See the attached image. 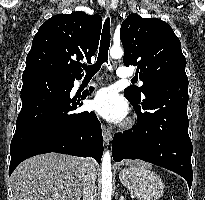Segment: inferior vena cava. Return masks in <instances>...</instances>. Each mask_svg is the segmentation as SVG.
I'll list each match as a JSON object with an SVG mask.
<instances>
[{"label":"inferior vena cava","instance_id":"obj_1","mask_svg":"<svg viewBox=\"0 0 205 200\" xmlns=\"http://www.w3.org/2000/svg\"><path fill=\"white\" fill-rule=\"evenodd\" d=\"M94 160L91 158L82 159V167L80 169V186L83 200H95V181L96 174L94 170Z\"/></svg>","mask_w":205,"mask_h":200}]
</instances>
